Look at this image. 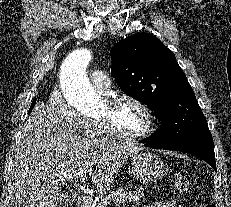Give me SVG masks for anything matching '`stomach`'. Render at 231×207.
I'll use <instances>...</instances> for the list:
<instances>
[{
	"instance_id": "1",
	"label": "stomach",
	"mask_w": 231,
	"mask_h": 207,
	"mask_svg": "<svg viewBox=\"0 0 231 207\" xmlns=\"http://www.w3.org/2000/svg\"><path fill=\"white\" fill-rule=\"evenodd\" d=\"M164 169L163 161L150 151H138L131 155V173L140 182L149 184L158 181Z\"/></svg>"
}]
</instances>
